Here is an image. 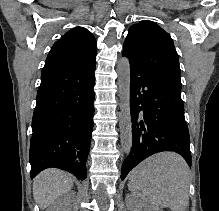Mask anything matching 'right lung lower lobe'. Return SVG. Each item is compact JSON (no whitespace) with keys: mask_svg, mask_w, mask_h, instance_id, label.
Returning a JSON list of instances; mask_svg holds the SVG:
<instances>
[{"mask_svg":"<svg viewBox=\"0 0 219 211\" xmlns=\"http://www.w3.org/2000/svg\"><path fill=\"white\" fill-rule=\"evenodd\" d=\"M96 61L44 66L32 119L31 178L57 167L85 179L94 116Z\"/></svg>","mask_w":219,"mask_h":211,"instance_id":"1","label":"right lung lower lobe"}]
</instances>
